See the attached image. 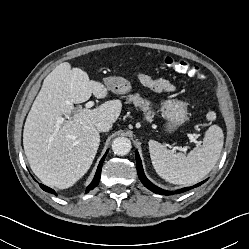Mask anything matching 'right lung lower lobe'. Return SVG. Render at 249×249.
I'll return each mask as SVG.
<instances>
[{
	"label": "right lung lower lobe",
	"instance_id": "98d812e1",
	"mask_svg": "<svg viewBox=\"0 0 249 249\" xmlns=\"http://www.w3.org/2000/svg\"><path fill=\"white\" fill-rule=\"evenodd\" d=\"M108 151L105 153V155L102 157L99 165H98V168H97V172L95 174V177L93 179V181L91 182V184L87 187L86 189V193H88L90 190H92L93 188H95L98 184H99V181H100V176H101V169H102V164H103V161L107 155ZM40 187L49 192V193H53V194H56L54 190H52L51 188L47 187V186H44L43 184H40Z\"/></svg>",
	"mask_w": 249,
	"mask_h": 249
}]
</instances>
